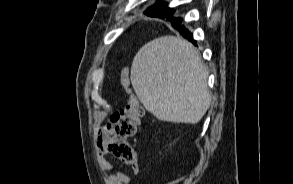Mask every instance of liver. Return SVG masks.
<instances>
[{"instance_id":"1","label":"liver","mask_w":293,"mask_h":184,"mask_svg":"<svg viewBox=\"0 0 293 184\" xmlns=\"http://www.w3.org/2000/svg\"><path fill=\"white\" fill-rule=\"evenodd\" d=\"M130 78L138 99L158 120L195 124L210 106L207 67L181 37L145 44L133 59Z\"/></svg>"}]
</instances>
